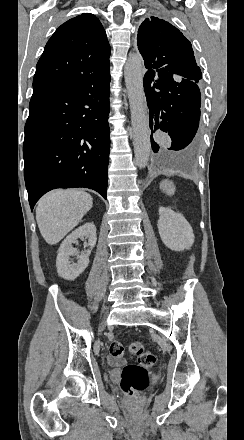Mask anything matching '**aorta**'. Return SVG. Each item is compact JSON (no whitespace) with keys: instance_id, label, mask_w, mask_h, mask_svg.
<instances>
[{"instance_id":"1","label":"aorta","mask_w":244,"mask_h":440,"mask_svg":"<svg viewBox=\"0 0 244 440\" xmlns=\"http://www.w3.org/2000/svg\"><path fill=\"white\" fill-rule=\"evenodd\" d=\"M142 63L143 59L139 54H130L124 67L133 129L135 164L141 169L146 167L151 151L150 131L145 109Z\"/></svg>"}]
</instances>
